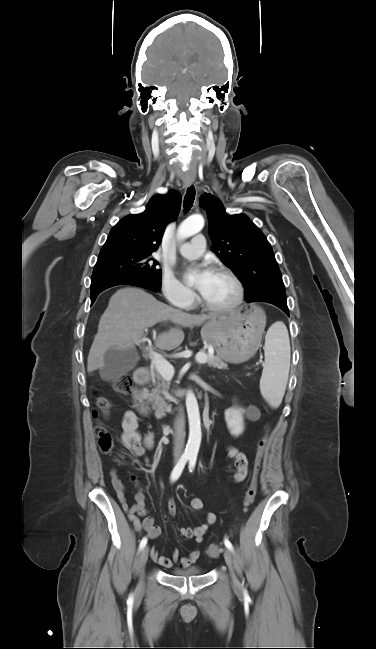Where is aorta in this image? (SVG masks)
I'll return each mask as SVG.
<instances>
[{"label":"aorta","instance_id":"obj_1","mask_svg":"<svg viewBox=\"0 0 376 649\" xmlns=\"http://www.w3.org/2000/svg\"><path fill=\"white\" fill-rule=\"evenodd\" d=\"M204 227V218L201 215H192L183 221L177 230V239L182 241L197 233ZM186 408L189 421V437L186 453L197 455L201 443V421L198 403L195 394L188 391L186 395Z\"/></svg>","mask_w":376,"mask_h":649}]
</instances>
